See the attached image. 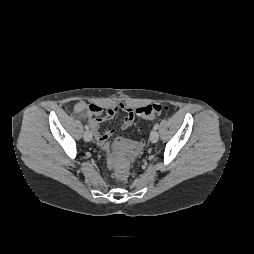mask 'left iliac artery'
<instances>
[{
  "label": "left iliac artery",
  "mask_w": 254,
  "mask_h": 254,
  "mask_svg": "<svg viewBox=\"0 0 254 254\" xmlns=\"http://www.w3.org/2000/svg\"><path fill=\"white\" fill-rule=\"evenodd\" d=\"M158 128H159V124L156 123V124L154 125V129L157 130Z\"/></svg>",
  "instance_id": "obj_1"
}]
</instances>
